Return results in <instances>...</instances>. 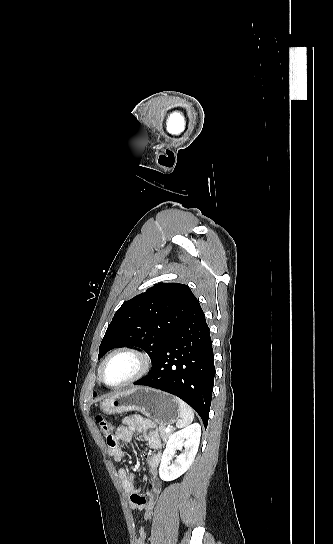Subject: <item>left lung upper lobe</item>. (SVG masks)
<instances>
[{"label": "left lung upper lobe", "instance_id": "left-lung-upper-lobe-1", "mask_svg": "<svg viewBox=\"0 0 333 544\" xmlns=\"http://www.w3.org/2000/svg\"><path fill=\"white\" fill-rule=\"evenodd\" d=\"M197 302L187 285L155 284L117 310L100 344L98 358L117 346L133 345L147 352L153 364Z\"/></svg>", "mask_w": 333, "mask_h": 544}]
</instances>
